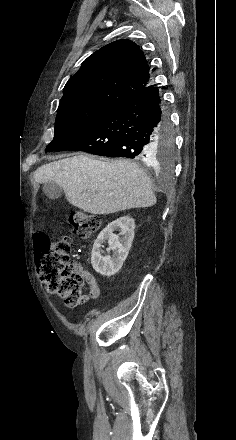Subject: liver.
Instances as JSON below:
<instances>
[{
    "mask_svg": "<svg viewBox=\"0 0 236 440\" xmlns=\"http://www.w3.org/2000/svg\"><path fill=\"white\" fill-rule=\"evenodd\" d=\"M33 177L38 184H58L70 204L94 215L156 203L150 178L129 160L105 162L77 155L42 165Z\"/></svg>",
    "mask_w": 236,
    "mask_h": 440,
    "instance_id": "liver-1",
    "label": "liver"
}]
</instances>
